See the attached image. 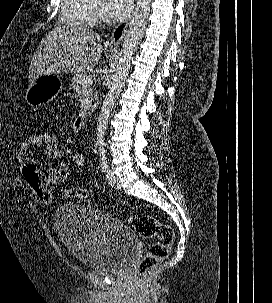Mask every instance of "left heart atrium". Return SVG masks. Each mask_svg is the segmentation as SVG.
<instances>
[{
	"label": "left heart atrium",
	"instance_id": "obj_1",
	"mask_svg": "<svg viewBox=\"0 0 272 303\" xmlns=\"http://www.w3.org/2000/svg\"><path fill=\"white\" fill-rule=\"evenodd\" d=\"M132 9V0H105L103 12L112 21L125 19Z\"/></svg>",
	"mask_w": 272,
	"mask_h": 303
}]
</instances>
